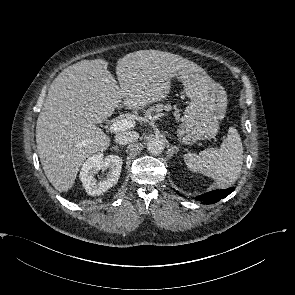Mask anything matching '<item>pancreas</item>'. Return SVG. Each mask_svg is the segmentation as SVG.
<instances>
[{
	"mask_svg": "<svg viewBox=\"0 0 295 295\" xmlns=\"http://www.w3.org/2000/svg\"><path fill=\"white\" fill-rule=\"evenodd\" d=\"M171 109H172V107H171V105H169V104H166V105H163V104H157L156 106L147 109V110L145 111V116H149V115H151V113H152L153 111H154L155 113H159V112H161V111H163V110H165V111H170ZM178 112H179V110L176 109V111H175V115H176V116L179 115Z\"/></svg>",
	"mask_w": 295,
	"mask_h": 295,
	"instance_id": "1",
	"label": "pancreas"
}]
</instances>
